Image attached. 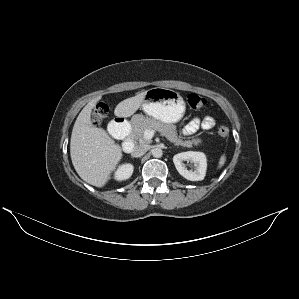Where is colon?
<instances>
[{"label": "colon", "mask_w": 299, "mask_h": 299, "mask_svg": "<svg viewBox=\"0 0 299 299\" xmlns=\"http://www.w3.org/2000/svg\"><path fill=\"white\" fill-rule=\"evenodd\" d=\"M187 104L189 108L193 110L203 109L206 105V99L196 93H190L186 97ZM108 106L105 103H100L93 115V123L98 126L104 120L108 114ZM230 133V130L227 126L222 125L218 128V134L221 137H227Z\"/></svg>", "instance_id": "5ec220e1"}]
</instances>
